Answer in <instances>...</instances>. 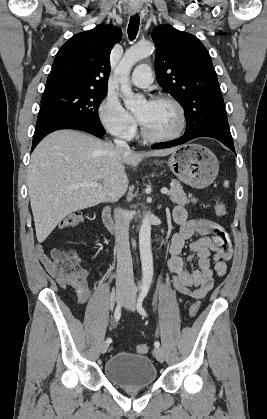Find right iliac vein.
Segmentation results:
<instances>
[{
  "label": "right iliac vein",
  "mask_w": 267,
  "mask_h": 419,
  "mask_svg": "<svg viewBox=\"0 0 267 419\" xmlns=\"http://www.w3.org/2000/svg\"><path fill=\"white\" fill-rule=\"evenodd\" d=\"M126 294H127V292H126V291H120V292L117 294V302H118V303L122 302V301H123V299L125 298ZM108 347H109V343H107L106 341H104V342L101 344V353H102V354H104V353L107 351Z\"/></svg>",
  "instance_id": "1"
}]
</instances>
